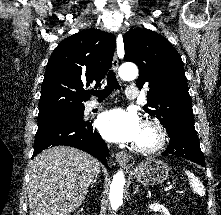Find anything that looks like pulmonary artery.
<instances>
[{
    "label": "pulmonary artery",
    "instance_id": "obj_1",
    "mask_svg": "<svg viewBox=\"0 0 221 215\" xmlns=\"http://www.w3.org/2000/svg\"><path fill=\"white\" fill-rule=\"evenodd\" d=\"M139 95V91L138 89L135 87V86H129L126 90V96L128 99H135L137 98ZM100 104L95 102V101H92L89 103L88 105V109L89 110H92L94 108H97Z\"/></svg>",
    "mask_w": 221,
    "mask_h": 215
}]
</instances>
